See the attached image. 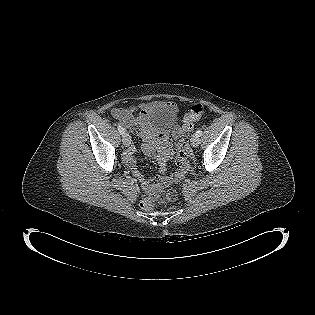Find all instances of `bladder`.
Returning <instances> with one entry per match:
<instances>
[{
  "label": "bladder",
  "mask_w": 315,
  "mask_h": 315,
  "mask_svg": "<svg viewBox=\"0 0 315 315\" xmlns=\"http://www.w3.org/2000/svg\"><path fill=\"white\" fill-rule=\"evenodd\" d=\"M176 126V120L173 116L162 109H158L149 114L147 127L158 132H171Z\"/></svg>",
  "instance_id": "31cf9c89"
}]
</instances>
